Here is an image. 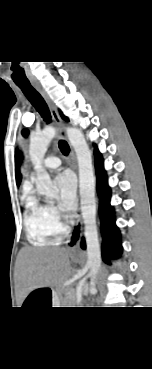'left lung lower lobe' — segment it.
Masks as SVG:
<instances>
[{
    "label": "left lung lower lobe",
    "mask_w": 152,
    "mask_h": 369,
    "mask_svg": "<svg viewBox=\"0 0 152 369\" xmlns=\"http://www.w3.org/2000/svg\"><path fill=\"white\" fill-rule=\"evenodd\" d=\"M97 191L100 197L99 212L101 214V228L103 233L102 256L109 264V258H117L121 253L120 233L115 226L114 210L110 207L111 191L107 183V175L103 169V159L98 149H95ZM81 247L85 249L82 239Z\"/></svg>",
    "instance_id": "obj_1"
}]
</instances>
